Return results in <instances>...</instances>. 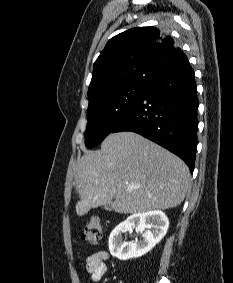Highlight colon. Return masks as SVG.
Wrapping results in <instances>:
<instances>
[{
	"label": "colon",
	"instance_id": "colon-1",
	"mask_svg": "<svg viewBox=\"0 0 233 283\" xmlns=\"http://www.w3.org/2000/svg\"><path fill=\"white\" fill-rule=\"evenodd\" d=\"M102 233V224L99 218L92 217L90 220L85 224L81 239L89 244H95L101 238Z\"/></svg>",
	"mask_w": 233,
	"mask_h": 283
}]
</instances>
